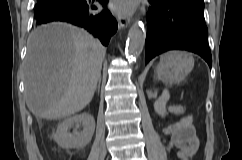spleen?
I'll return each mask as SVG.
<instances>
[{"mask_svg": "<svg viewBox=\"0 0 242 160\" xmlns=\"http://www.w3.org/2000/svg\"><path fill=\"white\" fill-rule=\"evenodd\" d=\"M169 99V93H168V91L167 90H165L164 92H163V94H162V96L160 97V99H159V102H161V103H166V101ZM172 111H175V110H177V111H180V109L179 108H177V109H171Z\"/></svg>", "mask_w": 242, "mask_h": 160, "instance_id": "1", "label": "spleen"}]
</instances>
